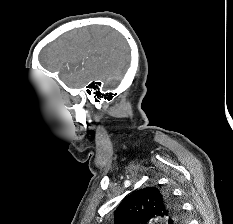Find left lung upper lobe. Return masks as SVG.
I'll use <instances>...</instances> for the list:
<instances>
[{
  "label": "left lung upper lobe",
  "instance_id": "obj_1",
  "mask_svg": "<svg viewBox=\"0 0 233 224\" xmlns=\"http://www.w3.org/2000/svg\"><path fill=\"white\" fill-rule=\"evenodd\" d=\"M155 215L165 217L168 224L182 222L179 204L170 193L155 187H147L133 192L120 203L115 211V222L146 223Z\"/></svg>",
  "mask_w": 233,
  "mask_h": 224
}]
</instances>
